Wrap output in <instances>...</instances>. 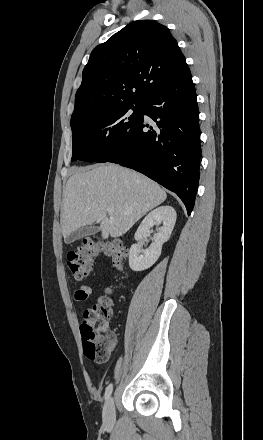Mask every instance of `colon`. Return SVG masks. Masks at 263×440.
<instances>
[{"label": "colon", "mask_w": 263, "mask_h": 440, "mask_svg": "<svg viewBox=\"0 0 263 440\" xmlns=\"http://www.w3.org/2000/svg\"><path fill=\"white\" fill-rule=\"evenodd\" d=\"M126 252L124 244L118 239L108 242L85 239L76 250L68 254L67 265L76 280H83L89 276L92 264L100 254L107 255L113 267L121 269ZM111 317V301L108 297H102L91 309L84 312L81 337L83 352L88 359L103 361L113 348L115 338L109 327Z\"/></svg>", "instance_id": "1"}]
</instances>
